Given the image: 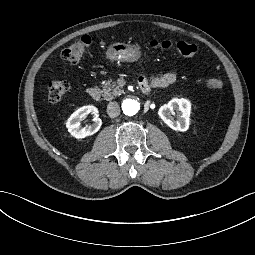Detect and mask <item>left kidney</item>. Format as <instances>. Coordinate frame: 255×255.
<instances>
[{"instance_id":"1","label":"left kidney","mask_w":255,"mask_h":255,"mask_svg":"<svg viewBox=\"0 0 255 255\" xmlns=\"http://www.w3.org/2000/svg\"><path fill=\"white\" fill-rule=\"evenodd\" d=\"M190 103L185 99H173L160 107L158 115L173 130L185 132L189 127Z\"/></svg>"}]
</instances>
